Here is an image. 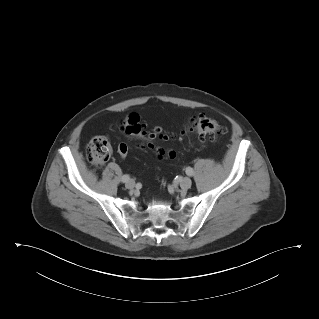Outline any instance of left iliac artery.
Segmentation results:
<instances>
[{
  "mask_svg": "<svg viewBox=\"0 0 319 319\" xmlns=\"http://www.w3.org/2000/svg\"><path fill=\"white\" fill-rule=\"evenodd\" d=\"M186 174L188 176H192L193 175V169L191 167L186 168Z\"/></svg>",
  "mask_w": 319,
  "mask_h": 319,
  "instance_id": "44dca946",
  "label": "left iliac artery"
}]
</instances>
